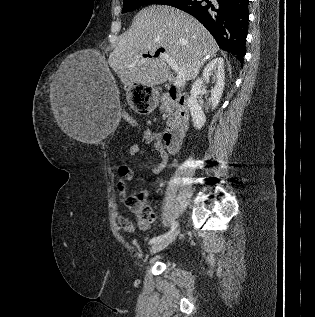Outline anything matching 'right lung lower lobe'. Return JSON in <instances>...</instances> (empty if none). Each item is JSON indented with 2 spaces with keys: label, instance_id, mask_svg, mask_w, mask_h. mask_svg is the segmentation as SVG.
<instances>
[{
  "label": "right lung lower lobe",
  "instance_id": "obj_1",
  "mask_svg": "<svg viewBox=\"0 0 315 317\" xmlns=\"http://www.w3.org/2000/svg\"><path fill=\"white\" fill-rule=\"evenodd\" d=\"M249 0H178L173 7L197 18L219 47L243 63L248 34Z\"/></svg>",
  "mask_w": 315,
  "mask_h": 317
}]
</instances>
